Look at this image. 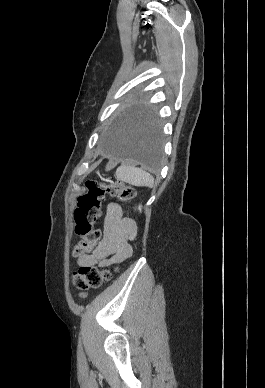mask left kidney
<instances>
[{
	"label": "left kidney",
	"mask_w": 265,
	"mask_h": 388,
	"mask_svg": "<svg viewBox=\"0 0 265 388\" xmlns=\"http://www.w3.org/2000/svg\"><path fill=\"white\" fill-rule=\"evenodd\" d=\"M138 210H141V206H139Z\"/></svg>",
	"instance_id": "1"
}]
</instances>
